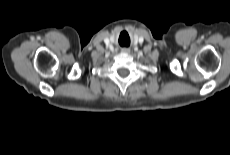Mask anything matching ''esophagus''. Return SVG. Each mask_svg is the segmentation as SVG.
<instances>
[{"label": "esophagus", "instance_id": "obj_1", "mask_svg": "<svg viewBox=\"0 0 230 155\" xmlns=\"http://www.w3.org/2000/svg\"><path fill=\"white\" fill-rule=\"evenodd\" d=\"M122 51H123L124 53H128V52H130V49H128V48H123Z\"/></svg>", "mask_w": 230, "mask_h": 155}]
</instances>
